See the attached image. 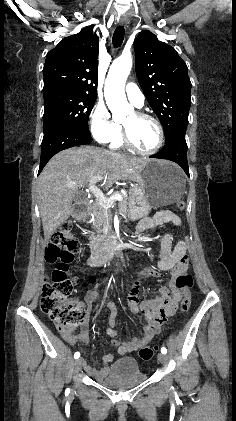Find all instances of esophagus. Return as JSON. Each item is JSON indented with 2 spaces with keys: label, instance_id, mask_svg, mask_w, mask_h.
<instances>
[{
  "label": "esophagus",
  "instance_id": "obj_1",
  "mask_svg": "<svg viewBox=\"0 0 236 421\" xmlns=\"http://www.w3.org/2000/svg\"><path fill=\"white\" fill-rule=\"evenodd\" d=\"M127 23H128L127 17L121 16L119 19V24L124 26V25H127Z\"/></svg>",
  "mask_w": 236,
  "mask_h": 421
}]
</instances>
